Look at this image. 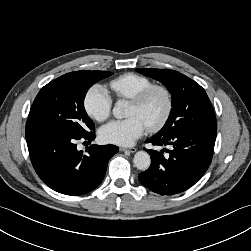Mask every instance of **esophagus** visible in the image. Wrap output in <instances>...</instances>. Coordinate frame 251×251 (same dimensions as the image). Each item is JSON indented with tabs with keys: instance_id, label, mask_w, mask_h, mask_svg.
Instances as JSON below:
<instances>
[{
	"instance_id": "obj_1",
	"label": "esophagus",
	"mask_w": 251,
	"mask_h": 251,
	"mask_svg": "<svg viewBox=\"0 0 251 251\" xmlns=\"http://www.w3.org/2000/svg\"><path fill=\"white\" fill-rule=\"evenodd\" d=\"M136 150H137V149H136L135 147H131V148H124V147H121V148H120V151H123V152L127 151V152H130V153H135Z\"/></svg>"
}]
</instances>
